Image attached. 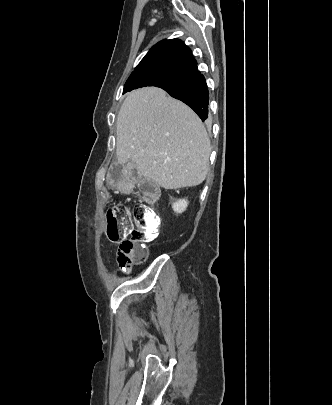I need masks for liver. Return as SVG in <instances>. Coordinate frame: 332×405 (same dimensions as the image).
I'll use <instances>...</instances> for the list:
<instances>
[{
	"mask_svg": "<svg viewBox=\"0 0 332 405\" xmlns=\"http://www.w3.org/2000/svg\"><path fill=\"white\" fill-rule=\"evenodd\" d=\"M119 164L134 162L138 172L165 189L193 187L208 173L210 140L196 113L161 88L131 91L116 122Z\"/></svg>",
	"mask_w": 332,
	"mask_h": 405,
	"instance_id": "obj_1",
	"label": "liver"
}]
</instances>
